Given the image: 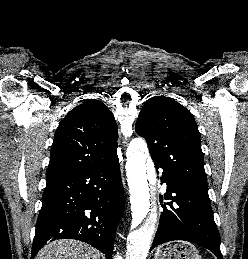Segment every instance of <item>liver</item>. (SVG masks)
<instances>
[{
    "label": "liver",
    "instance_id": "1",
    "mask_svg": "<svg viewBox=\"0 0 248 259\" xmlns=\"http://www.w3.org/2000/svg\"><path fill=\"white\" fill-rule=\"evenodd\" d=\"M35 259H101V255L84 242L61 239L46 244Z\"/></svg>",
    "mask_w": 248,
    "mask_h": 259
}]
</instances>
